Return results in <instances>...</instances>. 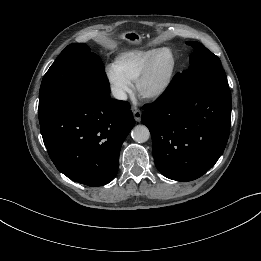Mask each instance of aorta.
Wrapping results in <instances>:
<instances>
[{
    "label": "aorta",
    "instance_id": "obj_1",
    "mask_svg": "<svg viewBox=\"0 0 261 261\" xmlns=\"http://www.w3.org/2000/svg\"><path fill=\"white\" fill-rule=\"evenodd\" d=\"M131 136L135 142L144 143L150 138V132L145 125H137L133 128Z\"/></svg>",
    "mask_w": 261,
    "mask_h": 261
}]
</instances>
